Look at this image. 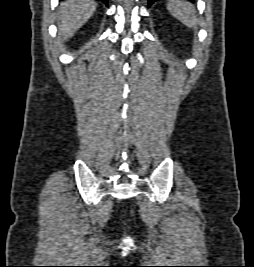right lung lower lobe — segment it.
<instances>
[{"instance_id": "1", "label": "right lung lower lobe", "mask_w": 254, "mask_h": 267, "mask_svg": "<svg viewBox=\"0 0 254 267\" xmlns=\"http://www.w3.org/2000/svg\"><path fill=\"white\" fill-rule=\"evenodd\" d=\"M103 3H105L106 5H108V0H101Z\"/></svg>"}]
</instances>
